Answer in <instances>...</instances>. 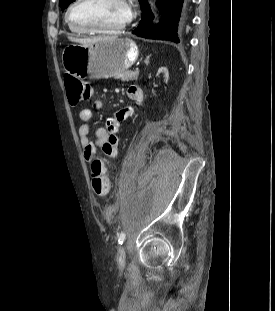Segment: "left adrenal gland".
I'll return each instance as SVG.
<instances>
[{
    "mask_svg": "<svg viewBox=\"0 0 275 311\" xmlns=\"http://www.w3.org/2000/svg\"><path fill=\"white\" fill-rule=\"evenodd\" d=\"M149 58H150V55H148V56L146 57V60H145V64H146V65H148V63H149Z\"/></svg>",
    "mask_w": 275,
    "mask_h": 311,
    "instance_id": "1",
    "label": "left adrenal gland"
}]
</instances>
